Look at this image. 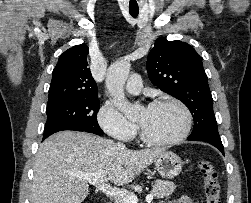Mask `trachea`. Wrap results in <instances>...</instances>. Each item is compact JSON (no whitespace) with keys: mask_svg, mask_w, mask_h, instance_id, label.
I'll return each instance as SVG.
<instances>
[{"mask_svg":"<svg viewBox=\"0 0 251 203\" xmlns=\"http://www.w3.org/2000/svg\"><path fill=\"white\" fill-rule=\"evenodd\" d=\"M129 13L132 17H137L139 10H129Z\"/></svg>","mask_w":251,"mask_h":203,"instance_id":"trachea-1","label":"trachea"}]
</instances>
